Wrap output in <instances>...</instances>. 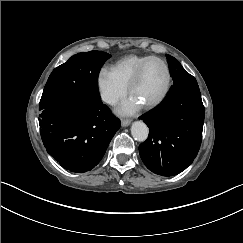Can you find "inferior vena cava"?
I'll use <instances>...</instances> for the list:
<instances>
[{"label":"inferior vena cava","instance_id":"obj_1","mask_svg":"<svg viewBox=\"0 0 243 243\" xmlns=\"http://www.w3.org/2000/svg\"><path fill=\"white\" fill-rule=\"evenodd\" d=\"M107 97H109V95L108 94H104V100H106V101H109V103H115V102H113L112 101V97H109V98H107Z\"/></svg>","mask_w":243,"mask_h":243}]
</instances>
